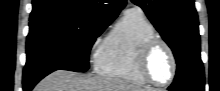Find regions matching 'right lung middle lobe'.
I'll return each mask as SVG.
<instances>
[{
    "label": "right lung middle lobe",
    "mask_w": 220,
    "mask_h": 91,
    "mask_svg": "<svg viewBox=\"0 0 220 91\" xmlns=\"http://www.w3.org/2000/svg\"><path fill=\"white\" fill-rule=\"evenodd\" d=\"M107 26L62 19L30 25L23 80L58 69L87 71L91 47Z\"/></svg>",
    "instance_id": "right-lung-middle-lobe-1"
}]
</instances>
